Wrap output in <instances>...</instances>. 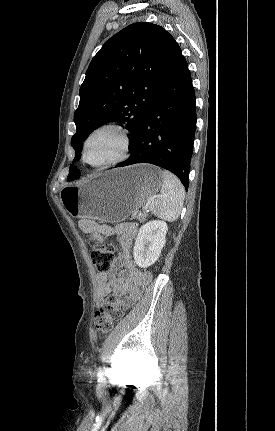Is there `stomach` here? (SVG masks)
I'll use <instances>...</instances> for the list:
<instances>
[{
  "label": "stomach",
  "instance_id": "stomach-1",
  "mask_svg": "<svg viewBox=\"0 0 275 431\" xmlns=\"http://www.w3.org/2000/svg\"><path fill=\"white\" fill-rule=\"evenodd\" d=\"M163 184L161 170L150 164L113 169L60 191L61 202L74 218L109 223L125 220L144 206Z\"/></svg>",
  "mask_w": 275,
  "mask_h": 431
}]
</instances>
